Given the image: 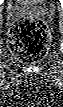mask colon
I'll use <instances>...</instances> for the list:
<instances>
[{
    "mask_svg": "<svg viewBox=\"0 0 63 107\" xmlns=\"http://www.w3.org/2000/svg\"><path fill=\"white\" fill-rule=\"evenodd\" d=\"M50 42L47 26L27 17L17 22L9 32L11 51L22 60L35 61L45 56Z\"/></svg>",
    "mask_w": 63,
    "mask_h": 107,
    "instance_id": "colon-1",
    "label": "colon"
}]
</instances>
